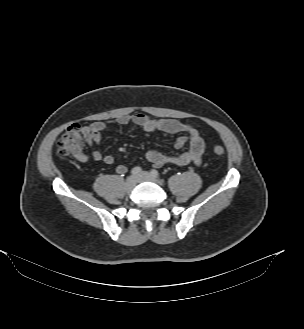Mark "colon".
<instances>
[{
	"mask_svg": "<svg viewBox=\"0 0 304 329\" xmlns=\"http://www.w3.org/2000/svg\"><path fill=\"white\" fill-rule=\"evenodd\" d=\"M85 145V137L82 128L73 124L60 136L57 143V155L59 159L77 157L81 154ZM213 152L217 156H223L225 149L221 145H215Z\"/></svg>",
	"mask_w": 304,
	"mask_h": 329,
	"instance_id": "obj_1",
	"label": "colon"
}]
</instances>
